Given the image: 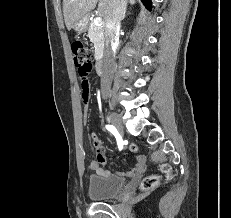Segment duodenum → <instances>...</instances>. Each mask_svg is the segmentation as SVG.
Here are the masks:
<instances>
[{"mask_svg": "<svg viewBox=\"0 0 231 218\" xmlns=\"http://www.w3.org/2000/svg\"><path fill=\"white\" fill-rule=\"evenodd\" d=\"M95 70H96L97 74L100 76L103 75L105 72L104 62H103L101 55H99L97 60H96Z\"/></svg>", "mask_w": 231, "mask_h": 218, "instance_id": "1", "label": "duodenum"}]
</instances>
